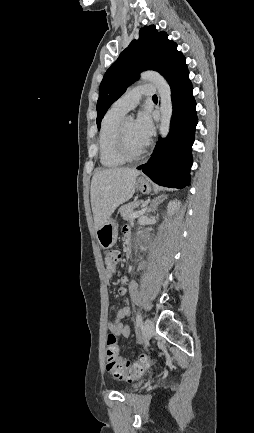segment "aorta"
Segmentation results:
<instances>
[{
	"label": "aorta",
	"instance_id": "762f6f07",
	"mask_svg": "<svg viewBox=\"0 0 254 433\" xmlns=\"http://www.w3.org/2000/svg\"><path fill=\"white\" fill-rule=\"evenodd\" d=\"M141 79L155 85L159 93L161 123L159 132L162 138L167 137L170 131V123L173 112L171 88L165 78L155 71H147L141 74Z\"/></svg>",
	"mask_w": 254,
	"mask_h": 433
}]
</instances>
